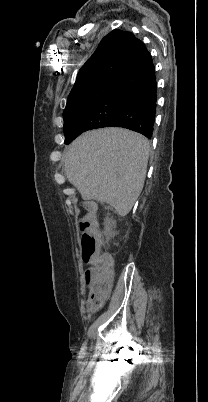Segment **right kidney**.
<instances>
[{"label":"right kidney","instance_id":"right-kidney-1","mask_svg":"<svg viewBox=\"0 0 208 402\" xmlns=\"http://www.w3.org/2000/svg\"><path fill=\"white\" fill-rule=\"evenodd\" d=\"M104 226H105V228H104L103 234L106 238V242H108V240H111V238H113V234H114V232H112V226L110 224V220H106Z\"/></svg>","mask_w":208,"mask_h":402}]
</instances>
